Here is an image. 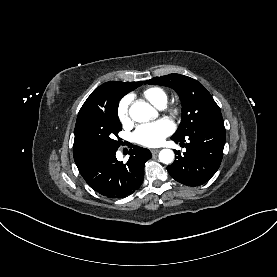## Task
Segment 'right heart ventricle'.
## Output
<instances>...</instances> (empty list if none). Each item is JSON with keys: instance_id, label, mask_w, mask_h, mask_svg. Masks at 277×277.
Returning a JSON list of instances; mask_svg holds the SVG:
<instances>
[{"instance_id": "1", "label": "right heart ventricle", "mask_w": 277, "mask_h": 277, "mask_svg": "<svg viewBox=\"0 0 277 277\" xmlns=\"http://www.w3.org/2000/svg\"><path fill=\"white\" fill-rule=\"evenodd\" d=\"M142 97L148 101L151 105L161 108L167 102V94L160 87H149L143 90Z\"/></svg>"}]
</instances>
